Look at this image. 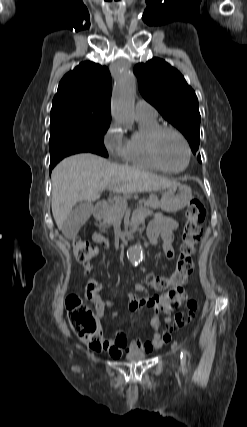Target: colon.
I'll return each mask as SVG.
<instances>
[{"instance_id": "1", "label": "colon", "mask_w": 247, "mask_h": 427, "mask_svg": "<svg viewBox=\"0 0 247 427\" xmlns=\"http://www.w3.org/2000/svg\"><path fill=\"white\" fill-rule=\"evenodd\" d=\"M206 216V209L199 199L192 200L185 213V223L181 235V244L176 269L170 276L150 274L146 278L147 284L156 291L183 287L194 269L193 255L196 244L201 236V223ZM73 256L79 263H88L97 256L98 248L90 242L76 238L73 240ZM66 309L69 323L79 338L91 349L103 350L107 346L103 327L96 314L77 295H70L66 299ZM197 311V302L190 300L187 308L175 314L173 327L182 328L188 325Z\"/></svg>"}]
</instances>
